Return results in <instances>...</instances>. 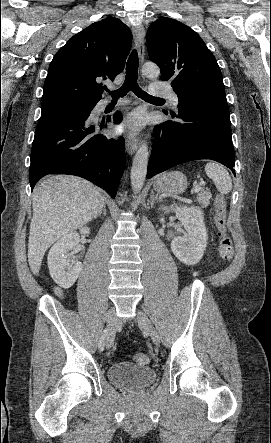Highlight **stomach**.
<instances>
[{
  "instance_id": "obj_1",
  "label": "stomach",
  "mask_w": 271,
  "mask_h": 443,
  "mask_svg": "<svg viewBox=\"0 0 271 443\" xmlns=\"http://www.w3.org/2000/svg\"><path fill=\"white\" fill-rule=\"evenodd\" d=\"M188 186L187 178L182 172H169L157 178L154 190L157 194H182Z\"/></svg>"
}]
</instances>
